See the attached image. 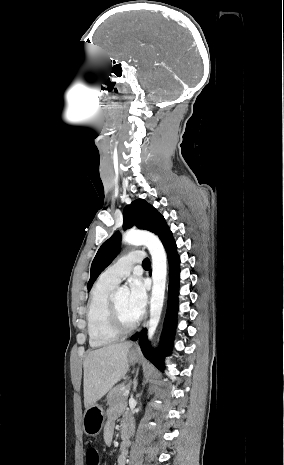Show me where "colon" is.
<instances>
[{"mask_svg": "<svg viewBox=\"0 0 284 465\" xmlns=\"http://www.w3.org/2000/svg\"><path fill=\"white\" fill-rule=\"evenodd\" d=\"M87 453L89 455H94L96 453V448L94 446H89L87 448ZM87 463L88 465H99L100 458L99 456H88Z\"/></svg>", "mask_w": 284, "mask_h": 465, "instance_id": "obj_1", "label": "colon"}]
</instances>
